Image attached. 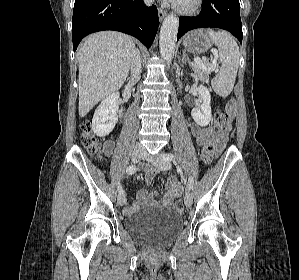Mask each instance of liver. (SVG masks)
I'll return each mask as SVG.
<instances>
[{"label": "liver", "instance_id": "liver-1", "mask_svg": "<svg viewBox=\"0 0 299 280\" xmlns=\"http://www.w3.org/2000/svg\"><path fill=\"white\" fill-rule=\"evenodd\" d=\"M135 50L132 37L115 31L97 32L84 39L77 50L80 117L122 87Z\"/></svg>", "mask_w": 299, "mask_h": 280}]
</instances>
